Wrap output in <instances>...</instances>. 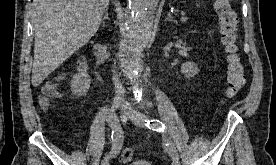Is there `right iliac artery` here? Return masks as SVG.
Returning a JSON list of instances; mask_svg holds the SVG:
<instances>
[{
  "label": "right iliac artery",
  "mask_w": 276,
  "mask_h": 165,
  "mask_svg": "<svg viewBox=\"0 0 276 165\" xmlns=\"http://www.w3.org/2000/svg\"><path fill=\"white\" fill-rule=\"evenodd\" d=\"M108 124L111 128L112 148L108 154L109 158L114 157L120 150L123 132L117 118L111 117L109 114L106 116Z\"/></svg>",
  "instance_id": "right-iliac-artery-1"
}]
</instances>
